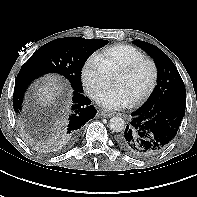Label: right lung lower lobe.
Listing matches in <instances>:
<instances>
[{"instance_id":"obj_1","label":"right lung lower lobe","mask_w":197,"mask_h":197,"mask_svg":"<svg viewBox=\"0 0 197 197\" xmlns=\"http://www.w3.org/2000/svg\"><path fill=\"white\" fill-rule=\"evenodd\" d=\"M42 75L27 69H21L19 71L15 81L13 95L15 112L20 113L23 96L29 84ZM90 104L91 101L82 92H73L72 101L69 106L61 117L56 120L52 128H50L55 142L71 144L76 140L81 127L96 115V109Z\"/></svg>"}]
</instances>
